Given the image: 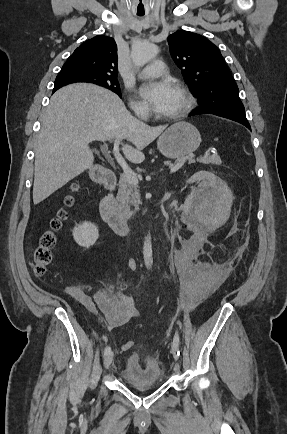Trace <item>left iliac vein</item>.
Masks as SVG:
<instances>
[{
	"label": "left iliac vein",
	"instance_id": "4c4485c4",
	"mask_svg": "<svg viewBox=\"0 0 287 434\" xmlns=\"http://www.w3.org/2000/svg\"><path fill=\"white\" fill-rule=\"evenodd\" d=\"M171 351H172L173 357L175 359H177L178 346L174 342L171 345ZM179 368H180V365L178 363H176L174 366V370L179 371Z\"/></svg>",
	"mask_w": 287,
	"mask_h": 434
}]
</instances>
